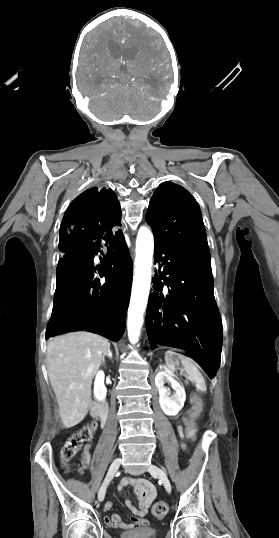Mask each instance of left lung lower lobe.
<instances>
[{
    "instance_id": "left-lung-lower-lobe-1",
    "label": "left lung lower lobe",
    "mask_w": 279,
    "mask_h": 538,
    "mask_svg": "<svg viewBox=\"0 0 279 538\" xmlns=\"http://www.w3.org/2000/svg\"><path fill=\"white\" fill-rule=\"evenodd\" d=\"M154 261L160 263L159 274L153 278L146 315L151 349L162 345L186 350L212 378L220 366L222 322L210 253L155 242Z\"/></svg>"
}]
</instances>
